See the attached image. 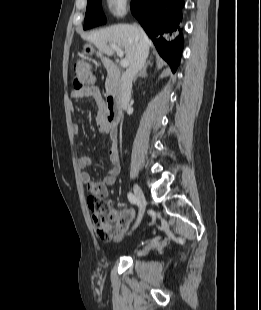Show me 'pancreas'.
Instances as JSON below:
<instances>
[{"label": "pancreas", "instance_id": "1", "mask_svg": "<svg viewBox=\"0 0 261 310\" xmlns=\"http://www.w3.org/2000/svg\"><path fill=\"white\" fill-rule=\"evenodd\" d=\"M106 89L109 90V79L106 80Z\"/></svg>", "mask_w": 261, "mask_h": 310}]
</instances>
